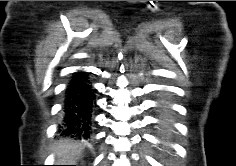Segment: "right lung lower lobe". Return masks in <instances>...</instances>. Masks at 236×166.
Here are the masks:
<instances>
[{
  "mask_svg": "<svg viewBox=\"0 0 236 166\" xmlns=\"http://www.w3.org/2000/svg\"><path fill=\"white\" fill-rule=\"evenodd\" d=\"M96 106L95 89L86 74L75 73L65 90L63 120L59 125L61 134L89 140Z\"/></svg>",
  "mask_w": 236,
  "mask_h": 166,
  "instance_id": "98d812e1",
  "label": "right lung lower lobe"
}]
</instances>
